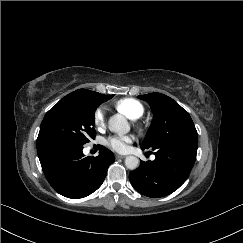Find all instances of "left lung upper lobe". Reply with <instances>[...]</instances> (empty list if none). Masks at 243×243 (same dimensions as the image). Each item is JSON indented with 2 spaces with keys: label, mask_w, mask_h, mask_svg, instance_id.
I'll return each mask as SVG.
<instances>
[{
  "label": "left lung upper lobe",
  "mask_w": 243,
  "mask_h": 243,
  "mask_svg": "<svg viewBox=\"0 0 243 243\" xmlns=\"http://www.w3.org/2000/svg\"><path fill=\"white\" fill-rule=\"evenodd\" d=\"M151 107L154 115L153 125L142 143L145 149L155 150L164 142L189 135H197L194 123L176 101L161 93L140 95Z\"/></svg>",
  "instance_id": "obj_1"
}]
</instances>
